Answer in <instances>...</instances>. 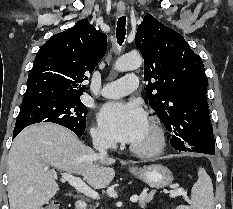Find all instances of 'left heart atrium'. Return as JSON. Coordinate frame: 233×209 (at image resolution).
Here are the masks:
<instances>
[{
    "label": "left heart atrium",
    "mask_w": 233,
    "mask_h": 209,
    "mask_svg": "<svg viewBox=\"0 0 233 209\" xmlns=\"http://www.w3.org/2000/svg\"><path fill=\"white\" fill-rule=\"evenodd\" d=\"M98 122L104 133L113 140L133 143L145 127L147 117L137 102H110L99 114Z\"/></svg>",
    "instance_id": "1"
}]
</instances>
